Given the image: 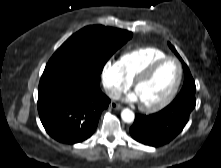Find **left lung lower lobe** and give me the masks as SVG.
<instances>
[{
	"mask_svg": "<svg viewBox=\"0 0 221 168\" xmlns=\"http://www.w3.org/2000/svg\"><path fill=\"white\" fill-rule=\"evenodd\" d=\"M195 105V90L183 89L161 111L147 116L136 114L130 134L133 139L148 146L167 144L181 133Z\"/></svg>",
	"mask_w": 221,
	"mask_h": 168,
	"instance_id": "obj_1",
	"label": "left lung lower lobe"
}]
</instances>
